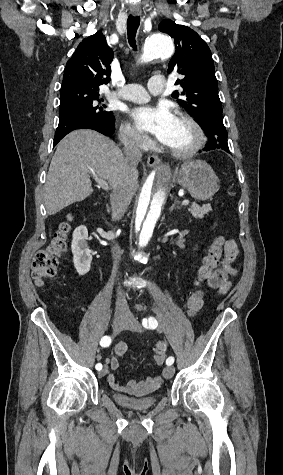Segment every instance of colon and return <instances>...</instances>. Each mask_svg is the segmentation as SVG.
Segmentation results:
<instances>
[{
	"instance_id": "5ec220e1",
	"label": "colon",
	"mask_w": 283,
	"mask_h": 475,
	"mask_svg": "<svg viewBox=\"0 0 283 475\" xmlns=\"http://www.w3.org/2000/svg\"><path fill=\"white\" fill-rule=\"evenodd\" d=\"M72 225L70 222L61 224L54 238L50 243L35 251L32 263V276L37 282L51 280L56 274L58 261L63 258L67 252L70 241ZM225 239L222 235H217L210 245L207 253L204 255L197 273L195 284L199 281L209 280L220 263ZM166 344L159 342L155 345L153 351V360L156 364H162L165 359Z\"/></svg>"
}]
</instances>
